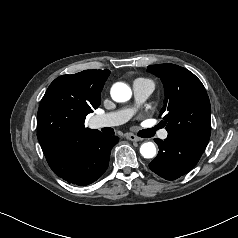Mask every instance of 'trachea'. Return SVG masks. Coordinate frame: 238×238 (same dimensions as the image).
I'll return each instance as SVG.
<instances>
[{"mask_svg": "<svg viewBox=\"0 0 238 238\" xmlns=\"http://www.w3.org/2000/svg\"><path fill=\"white\" fill-rule=\"evenodd\" d=\"M155 130H156L155 128L141 130L139 132V136L140 137H151L155 134Z\"/></svg>", "mask_w": 238, "mask_h": 238, "instance_id": "obj_1", "label": "trachea"}]
</instances>
